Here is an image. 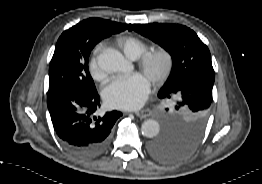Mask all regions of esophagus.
Listing matches in <instances>:
<instances>
[{
    "label": "esophagus",
    "mask_w": 262,
    "mask_h": 184,
    "mask_svg": "<svg viewBox=\"0 0 262 184\" xmlns=\"http://www.w3.org/2000/svg\"><path fill=\"white\" fill-rule=\"evenodd\" d=\"M149 113H150V110H149V109L136 112V114H137L139 117H141V118H144V117L148 116Z\"/></svg>",
    "instance_id": "esophagus-1"
}]
</instances>
